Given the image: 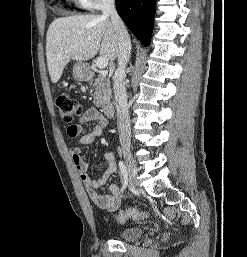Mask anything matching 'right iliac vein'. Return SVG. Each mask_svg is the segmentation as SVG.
<instances>
[{
  "label": "right iliac vein",
  "mask_w": 247,
  "mask_h": 257,
  "mask_svg": "<svg viewBox=\"0 0 247 257\" xmlns=\"http://www.w3.org/2000/svg\"><path fill=\"white\" fill-rule=\"evenodd\" d=\"M123 155L127 164V175H128L129 185L133 187L136 181L137 168L132 158V155L128 150H124Z\"/></svg>",
  "instance_id": "1"
}]
</instances>
